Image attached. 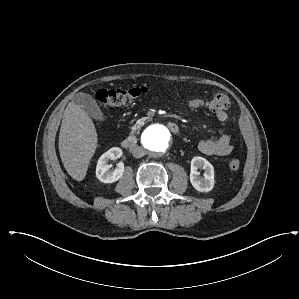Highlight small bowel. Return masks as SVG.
<instances>
[{
    "instance_id": "c3829d8e",
    "label": "small bowel",
    "mask_w": 299,
    "mask_h": 299,
    "mask_svg": "<svg viewBox=\"0 0 299 299\" xmlns=\"http://www.w3.org/2000/svg\"><path fill=\"white\" fill-rule=\"evenodd\" d=\"M191 109L205 108L215 114L220 122L228 120L229 98L221 93L207 99L193 98L189 100ZM198 149L209 156H226L233 151V145L228 134H222L219 138H206L199 142Z\"/></svg>"
}]
</instances>
